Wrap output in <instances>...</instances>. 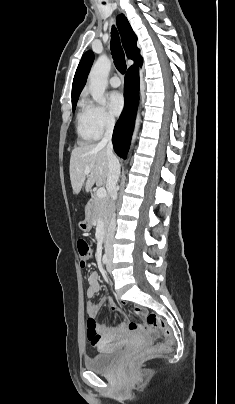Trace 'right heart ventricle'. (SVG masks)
Here are the masks:
<instances>
[{"label": "right heart ventricle", "instance_id": "1", "mask_svg": "<svg viewBox=\"0 0 235 404\" xmlns=\"http://www.w3.org/2000/svg\"><path fill=\"white\" fill-rule=\"evenodd\" d=\"M76 132L81 144H87L99 138L100 134L93 127L87 105L81 101L76 116Z\"/></svg>", "mask_w": 235, "mask_h": 404}]
</instances>
